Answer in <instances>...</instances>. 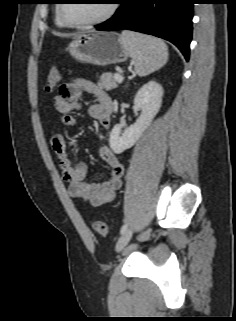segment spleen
Here are the masks:
<instances>
[{
    "label": "spleen",
    "instance_id": "3e777b00",
    "mask_svg": "<svg viewBox=\"0 0 236 321\" xmlns=\"http://www.w3.org/2000/svg\"><path fill=\"white\" fill-rule=\"evenodd\" d=\"M121 41L129 51L135 72L139 76H146L160 69L168 60V47L158 38L122 31Z\"/></svg>",
    "mask_w": 236,
    "mask_h": 321
}]
</instances>
